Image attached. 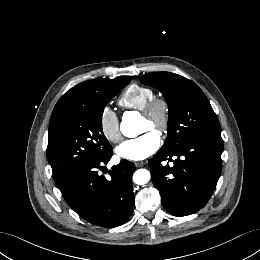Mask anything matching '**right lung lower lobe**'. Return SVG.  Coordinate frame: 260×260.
<instances>
[{"label":"right lung lower lobe","instance_id":"obj_1","mask_svg":"<svg viewBox=\"0 0 260 260\" xmlns=\"http://www.w3.org/2000/svg\"><path fill=\"white\" fill-rule=\"evenodd\" d=\"M112 155L113 151L99 160L76 164L54 177L69 206L86 221L102 227L123 224L134 208V164L122 159L109 171L110 179L99 173Z\"/></svg>","mask_w":260,"mask_h":260}]
</instances>
